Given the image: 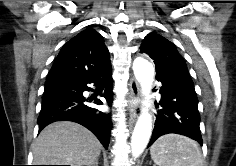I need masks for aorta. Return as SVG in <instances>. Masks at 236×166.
I'll return each mask as SVG.
<instances>
[{
    "mask_svg": "<svg viewBox=\"0 0 236 166\" xmlns=\"http://www.w3.org/2000/svg\"><path fill=\"white\" fill-rule=\"evenodd\" d=\"M133 71L141 85L142 94L145 96L141 115L131 137L132 155L138 157L146 148L152 132V117L148 111L150 107L149 95L154 77V67L148 60L138 57L133 62Z\"/></svg>",
    "mask_w": 236,
    "mask_h": 166,
    "instance_id": "1",
    "label": "aorta"
}]
</instances>
